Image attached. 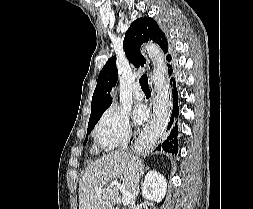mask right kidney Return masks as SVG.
<instances>
[{"label":"right kidney","instance_id":"obj_1","mask_svg":"<svg viewBox=\"0 0 253 209\" xmlns=\"http://www.w3.org/2000/svg\"><path fill=\"white\" fill-rule=\"evenodd\" d=\"M167 182L163 175L152 170L147 173L142 184V196L147 200L161 202L165 197Z\"/></svg>","mask_w":253,"mask_h":209}]
</instances>
